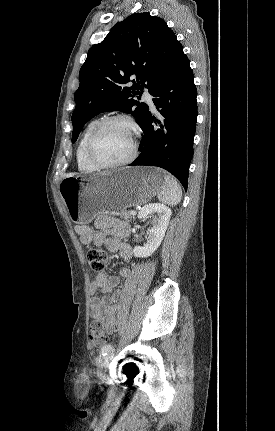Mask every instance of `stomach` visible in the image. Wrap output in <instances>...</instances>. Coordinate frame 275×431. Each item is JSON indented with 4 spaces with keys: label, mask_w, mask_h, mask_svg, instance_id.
<instances>
[{
    "label": "stomach",
    "mask_w": 275,
    "mask_h": 431,
    "mask_svg": "<svg viewBox=\"0 0 275 431\" xmlns=\"http://www.w3.org/2000/svg\"><path fill=\"white\" fill-rule=\"evenodd\" d=\"M163 184L159 168L133 167L91 177L67 176L59 192L71 221L86 225L99 213L119 215L128 207L146 203Z\"/></svg>",
    "instance_id": "stomach-1"
}]
</instances>
